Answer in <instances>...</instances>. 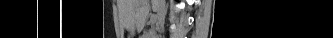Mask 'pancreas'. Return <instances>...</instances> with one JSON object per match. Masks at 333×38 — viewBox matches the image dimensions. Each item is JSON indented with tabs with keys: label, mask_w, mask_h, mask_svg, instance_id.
I'll use <instances>...</instances> for the list:
<instances>
[{
	"label": "pancreas",
	"mask_w": 333,
	"mask_h": 38,
	"mask_svg": "<svg viewBox=\"0 0 333 38\" xmlns=\"http://www.w3.org/2000/svg\"><path fill=\"white\" fill-rule=\"evenodd\" d=\"M153 35V30H151L150 32H148L147 36L151 37Z\"/></svg>",
	"instance_id": "cf45deb5"
}]
</instances>
